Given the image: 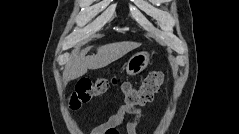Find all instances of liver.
I'll return each instance as SVG.
<instances>
[{
  "instance_id": "obj_1",
  "label": "liver",
  "mask_w": 239,
  "mask_h": 134,
  "mask_svg": "<svg viewBox=\"0 0 239 134\" xmlns=\"http://www.w3.org/2000/svg\"><path fill=\"white\" fill-rule=\"evenodd\" d=\"M139 46L140 43L136 42H117L103 45L97 49L96 55L89 56H86L88 48H85L80 56L68 65L67 77L74 80L86 74L88 69L103 68Z\"/></svg>"
}]
</instances>
